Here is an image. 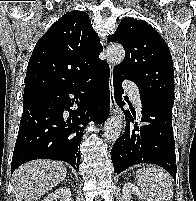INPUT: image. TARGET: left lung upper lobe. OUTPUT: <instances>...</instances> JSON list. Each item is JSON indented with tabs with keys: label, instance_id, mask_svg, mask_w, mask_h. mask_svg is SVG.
<instances>
[{
	"label": "left lung upper lobe",
	"instance_id": "5c2ea615",
	"mask_svg": "<svg viewBox=\"0 0 196 201\" xmlns=\"http://www.w3.org/2000/svg\"><path fill=\"white\" fill-rule=\"evenodd\" d=\"M107 42L125 48V59L114 74L133 81L141 95L174 104V70L169 48L161 35L143 20L124 18Z\"/></svg>",
	"mask_w": 196,
	"mask_h": 201
}]
</instances>
